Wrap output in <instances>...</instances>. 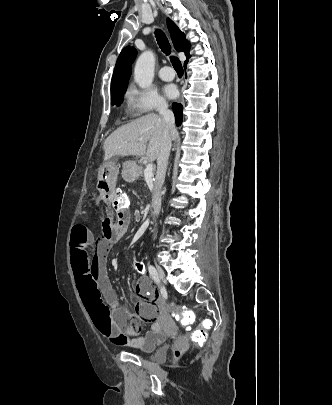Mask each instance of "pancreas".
I'll return each mask as SVG.
<instances>
[{
	"instance_id": "1",
	"label": "pancreas",
	"mask_w": 332,
	"mask_h": 405,
	"mask_svg": "<svg viewBox=\"0 0 332 405\" xmlns=\"http://www.w3.org/2000/svg\"><path fill=\"white\" fill-rule=\"evenodd\" d=\"M137 173H138V174L144 173L143 167H141V166L138 167V168H137Z\"/></svg>"
}]
</instances>
